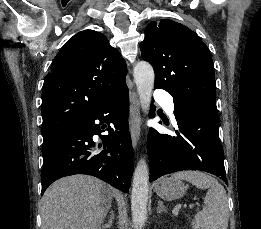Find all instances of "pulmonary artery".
<instances>
[{"instance_id": "e3ab8cb5", "label": "pulmonary artery", "mask_w": 261, "mask_h": 229, "mask_svg": "<svg viewBox=\"0 0 261 229\" xmlns=\"http://www.w3.org/2000/svg\"><path fill=\"white\" fill-rule=\"evenodd\" d=\"M156 94H153V99H160L157 100V105H162V111L165 115H169L171 121L176 124L175 119V100H173V97L171 96L170 91H166L165 89H156Z\"/></svg>"}]
</instances>
